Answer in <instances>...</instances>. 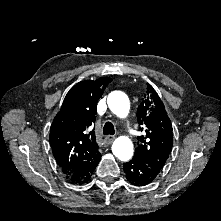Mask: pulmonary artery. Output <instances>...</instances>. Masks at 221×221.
I'll list each match as a JSON object with an SVG mask.
<instances>
[{
    "instance_id": "e3ab8cb5",
    "label": "pulmonary artery",
    "mask_w": 221,
    "mask_h": 221,
    "mask_svg": "<svg viewBox=\"0 0 221 221\" xmlns=\"http://www.w3.org/2000/svg\"><path fill=\"white\" fill-rule=\"evenodd\" d=\"M124 126L127 129L128 133H130L131 135H134V125L130 118L127 117L124 120Z\"/></svg>"
}]
</instances>
